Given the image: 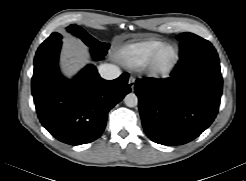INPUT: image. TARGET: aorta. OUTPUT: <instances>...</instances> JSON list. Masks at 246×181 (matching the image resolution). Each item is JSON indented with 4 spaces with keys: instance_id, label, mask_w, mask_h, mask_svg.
Returning <instances> with one entry per match:
<instances>
[{
    "instance_id": "obj_1",
    "label": "aorta",
    "mask_w": 246,
    "mask_h": 181,
    "mask_svg": "<svg viewBox=\"0 0 246 181\" xmlns=\"http://www.w3.org/2000/svg\"><path fill=\"white\" fill-rule=\"evenodd\" d=\"M124 103L127 107H135L138 104V97L134 93H129L125 96Z\"/></svg>"
}]
</instances>
